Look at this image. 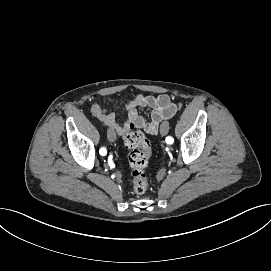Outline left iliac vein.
<instances>
[{"label":"left iliac vein","instance_id":"left-iliac-vein-1","mask_svg":"<svg viewBox=\"0 0 271 271\" xmlns=\"http://www.w3.org/2000/svg\"><path fill=\"white\" fill-rule=\"evenodd\" d=\"M168 131H169L168 123L167 122L162 123L160 127V133L165 136L167 135Z\"/></svg>","mask_w":271,"mask_h":271}]
</instances>
